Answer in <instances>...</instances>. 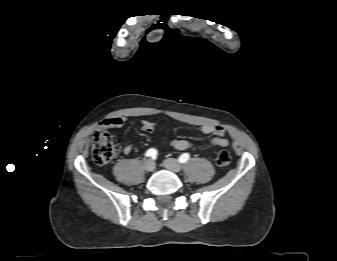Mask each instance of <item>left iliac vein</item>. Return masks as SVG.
I'll list each match as a JSON object with an SVG mask.
<instances>
[{
    "label": "left iliac vein",
    "mask_w": 337,
    "mask_h": 261,
    "mask_svg": "<svg viewBox=\"0 0 337 261\" xmlns=\"http://www.w3.org/2000/svg\"><path fill=\"white\" fill-rule=\"evenodd\" d=\"M164 166L168 170L174 172V173H179L182 170V165L173 158H168L164 161Z\"/></svg>",
    "instance_id": "1"
}]
</instances>
